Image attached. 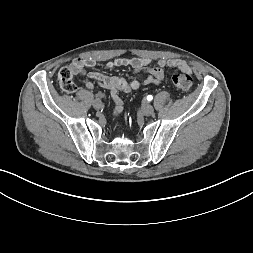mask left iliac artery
Masks as SVG:
<instances>
[{
    "mask_svg": "<svg viewBox=\"0 0 253 253\" xmlns=\"http://www.w3.org/2000/svg\"><path fill=\"white\" fill-rule=\"evenodd\" d=\"M152 99H153V96H152V95H148V96H147V100H148V101H151Z\"/></svg>",
    "mask_w": 253,
    "mask_h": 253,
    "instance_id": "44dca946",
    "label": "left iliac artery"
}]
</instances>
